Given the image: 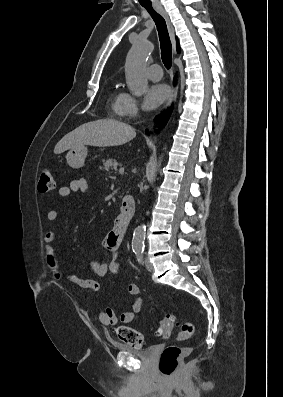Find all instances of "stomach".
<instances>
[{
    "label": "stomach",
    "mask_w": 283,
    "mask_h": 397,
    "mask_svg": "<svg viewBox=\"0 0 283 397\" xmlns=\"http://www.w3.org/2000/svg\"><path fill=\"white\" fill-rule=\"evenodd\" d=\"M87 148L80 146L78 148L70 149L66 155L67 163L72 168H80L84 165L87 156Z\"/></svg>",
    "instance_id": "stomach-1"
}]
</instances>
